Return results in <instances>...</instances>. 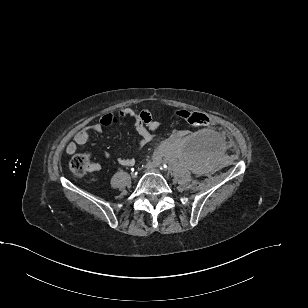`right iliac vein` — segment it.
<instances>
[{
	"mask_svg": "<svg viewBox=\"0 0 308 308\" xmlns=\"http://www.w3.org/2000/svg\"><path fill=\"white\" fill-rule=\"evenodd\" d=\"M131 177L132 178H136V174L135 173H131Z\"/></svg>",
	"mask_w": 308,
	"mask_h": 308,
	"instance_id": "right-iliac-vein-1",
	"label": "right iliac vein"
}]
</instances>
